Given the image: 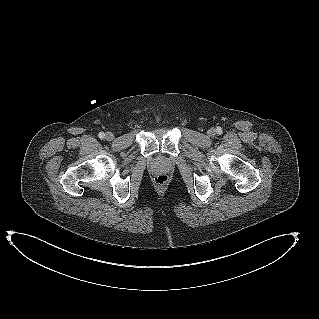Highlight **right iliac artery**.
<instances>
[{
    "mask_svg": "<svg viewBox=\"0 0 319 319\" xmlns=\"http://www.w3.org/2000/svg\"><path fill=\"white\" fill-rule=\"evenodd\" d=\"M104 137H105L104 132H100V133H99V138L103 139Z\"/></svg>",
    "mask_w": 319,
    "mask_h": 319,
    "instance_id": "right-iliac-artery-1",
    "label": "right iliac artery"
}]
</instances>
